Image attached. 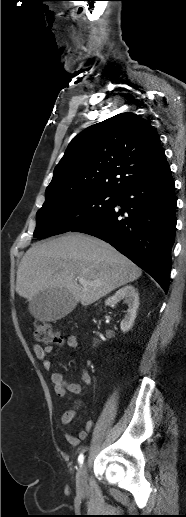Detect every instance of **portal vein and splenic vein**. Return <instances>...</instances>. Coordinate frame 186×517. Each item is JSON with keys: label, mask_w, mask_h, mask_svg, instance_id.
Wrapping results in <instances>:
<instances>
[{"label": "portal vein and splenic vein", "mask_w": 186, "mask_h": 517, "mask_svg": "<svg viewBox=\"0 0 186 517\" xmlns=\"http://www.w3.org/2000/svg\"><path fill=\"white\" fill-rule=\"evenodd\" d=\"M77 280L81 283V284H88L89 282H87L83 277H78Z\"/></svg>", "instance_id": "portal-vein-and-splenic-vein-1"}]
</instances>
